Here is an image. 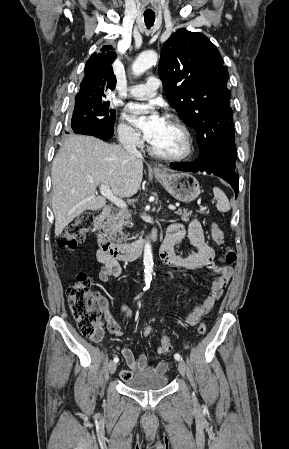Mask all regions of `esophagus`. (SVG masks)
<instances>
[{"mask_svg": "<svg viewBox=\"0 0 289 449\" xmlns=\"http://www.w3.org/2000/svg\"><path fill=\"white\" fill-rule=\"evenodd\" d=\"M153 170H154L155 172H161V171H162V169L159 168V167H157V166H154V167H153Z\"/></svg>", "mask_w": 289, "mask_h": 449, "instance_id": "1", "label": "esophagus"}]
</instances>
